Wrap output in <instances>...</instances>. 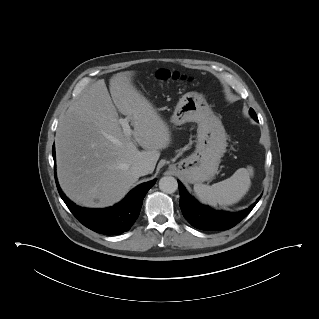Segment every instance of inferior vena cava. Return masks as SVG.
Returning a JSON list of instances; mask_svg holds the SVG:
<instances>
[{
    "instance_id": "obj_1",
    "label": "inferior vena cava",
    "mask_w": 319,
    "mask_h": 319,
    "mask_svg": "<svg viewBox=\"0 0 319 319\" xmlns=\"http://www.w3.org/2000/svg\"><path fill=\"white\" fill-rule=\"evenodd\" d=\"M132 172L137 176H144L150 172V166L147 162H139L131 167Z\"/></svg>"
}]
</instances>
